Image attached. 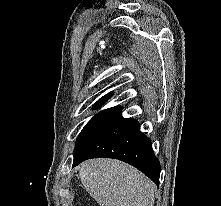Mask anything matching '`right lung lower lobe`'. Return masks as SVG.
Returning a JSON list of instances; mask_svg holds the SVG:
<instances>
[{
    "label": "right lung lower lobe",
    "mask_w": 221,
    "mask_h": 206,
    "mask_svg": "<svg viewBox=\"0 0 221 206\" xmlns=\"http://www.w3.org/2000/svg\"><path fill=\"white\" fill-rule=\"evenodd\" d=\"M90 158L122 160L159 185V160L153 153L150 139L140 132L139 123L132 118L121 117L116 121L74 160L73 167Z\"/></svg>",
    "instance_id": "right-lung-lower-lobe-1"
}]
</instances>
